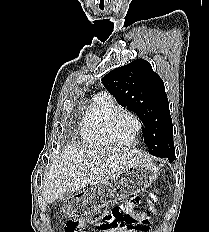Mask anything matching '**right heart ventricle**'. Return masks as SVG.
<instances>
[{
  "mask_svg": "<svg viewBox=\"0 0 209 232\" xmlns=\"http://www.w3.org/2000/svg\"><path fill=\"white\" fill-rule=\"evenodd\" d=\"M119 108L108 93L101 92L95 95L82 118L83 139L95 147L112 146L106 134V124L111 113Z\"/></svg>",
  "mask_w": 209,
  "mask_h": 232,
  "instance_id": "right-heart-ventricle-1",
  "label": "right heart ventricle"
}]
</instances>
